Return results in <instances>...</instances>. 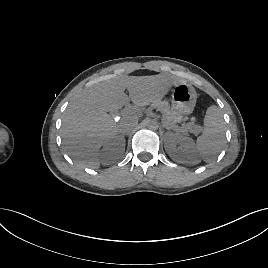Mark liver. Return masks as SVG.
I'll return each mask as SVG.
<instances>
[{
	"instance_id": "obj_1",
	"label": "liver",
	"mask_w": 268,
	"mask_h": 268,
	"mask_svg": "<svg viewBox=\"0 0 268 268\" xmlns=\"http://www.w3.org/2000/svg\"><path fill=\"white\" fill-rule=\"evenodd\" d=\"M178 83L183 81L165 74L125 75L83 89L69 103L62 121L61 136L68 154L81 166L98 168L100 148L119 130L107 112L121 109L130 100L140 107L154 105Z\"/></svg>"
}]
</instances>
